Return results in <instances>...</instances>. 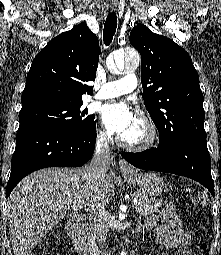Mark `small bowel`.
<instances>
[{
  "instance_id": "obj_1",
  "label": "small bowel",
  "mask_w": 221,
  "mask_h": 255,
  "mask_svg": "<svg viewBox=\"0 0 221 255\" xmlns=\"http://www.w3.org/2000/svg\"><path fill=\"white\" fill-rule=\"evenodd\" d=\"M145 225L161 245L175 249L177 255H192L191 236L183 229L182 222L171 204H165L158 215L148 216Z\"/></svg>"
}]
</instances>
